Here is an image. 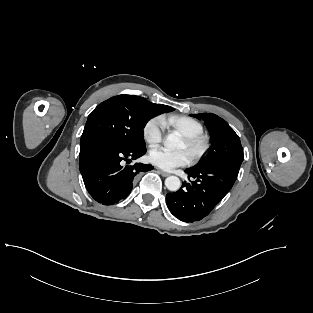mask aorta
<instances>
[{"label":"aorta","mask_w":313,"mask_h":313,"mask_svg":"<svg viewBox=\"0 0 313 313\" xmlns=\"http://www.w3.org/2000/svg\"><path fill=\"white\" fill-rule=\"evenodd\" d=\"M180 139L176 133L167 135L164 146L169 149H175L179 146ZM165 186L170 191H177L181 187V181L176 176H169L165 179Z\"/></svg>","instance_id":"aorta-1"}]
</instances>
